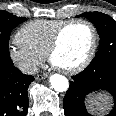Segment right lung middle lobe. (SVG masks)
<instances>
[{"label":"right lung middle lobe","mask_w":116,"mask_h":116,"mask_svg":"<svg viewBox=\"0 0 116 116\" xmlns=\"http://www.w3.org/2000/svg\"><path fill=\"white\" fill-rule=\"evenodd\" d=\"M26 20L24 17H17L0 10V69L13 65L9 55V36L17 25Z\"/></svg>","instance_id":"dd1d6c3e"}]
</instances>
